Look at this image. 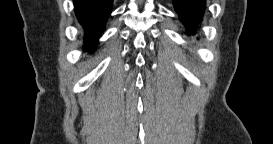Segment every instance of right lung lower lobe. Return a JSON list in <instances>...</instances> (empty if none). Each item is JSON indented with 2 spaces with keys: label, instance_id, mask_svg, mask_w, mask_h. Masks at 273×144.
<instances>
[{
  "label": "right lung lower lobe",
  "instance_id": "obj_1",
  "mask_svg": "<svg viewBox=\"0 0 273 144\" xmlns=\"http://www.w3.org/2000/svg\"><path fill=\"white\" fill-rule=\"evenodd\" d=\"M113 0H74L75 13L85 30L84 43L88 51L94 50L100 32L112 10Z\"/></svg>",
  "mask_w": 273,
  "mask_h": 144
}]
</instances>
